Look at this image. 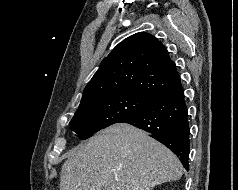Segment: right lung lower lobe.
I'll use <instances>...</instances> for the list:
<instances>
[{"label":"right lung lower lobe","mask_w":238,"mask_h":190,"mask_svg":"<svg viewBox=\"0 0 238 190\" xmlns=\"http://www.w3.org/2000/svg\"><path fill=\"white\" fill-rule=\"evenodd\" d=\"M122 123L151 133L153 138L171 149L188 169L190 128L184 90L180 82Z\"/></svg>","instance_id":"right-lung-lower-lobe-1"}]
</instances>
